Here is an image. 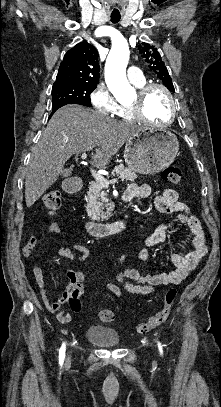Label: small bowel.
<instances>
[{
	"mask_svg": "<svg viewBox=\"0 0 221 407\" xmlns=\"http://www.w3.org/2000/svg\"><path fill=\"white\" fill-rule=\"evenodd\" d=\"M152 193L151 187L148 185H130L123 193V200L129 202L135 197H149ZM153 206L160 212L175 214L177 219L185 224L192 233V251L177 253L172 257L173 269H151L146 266L148 258V247L156 246L163 243L172 228L171 223L164 224L157 228L151 235L146 238V248H143L138 254V260L142 265V270L137 268H122L118 271L117 280L120 285L109 282L106 284L107 289L112 292L117 298H121L122 289L132 295H147L153 293L157 287L162 285H176L184 280L193 270H195L202 258L207 253V242L200 221L191 214L189 206L179 200V195L172 188H164L160 190L152 199ZM49 232L60 233V228L51 224L48 228ZM38 238L32 236L22 249L24 258H29L33 249L36 246ZM75 248L82 252L80 256H76L68 247H60L58 253L60 256L70 260H84L86 258V250L83 246L75 245ZM33 277L40 289L41 298L46 308L52 314L57 315V319L62 324H67L72 317L69 314L60 312V308L65 303H70L72 294L69 286L72 283L80 285L86 280V271L68 270L67 277L69 285L62 295L55 301L51 302L46 292V282L43 271L40 267L35 266L32 269ZM82 294V287H81Z\"/></svg>",
	"mask_w": 221,
	"mask_h": 407,
	"instance_id": "1",
	"label": "small bowel"
}]
</instances>
